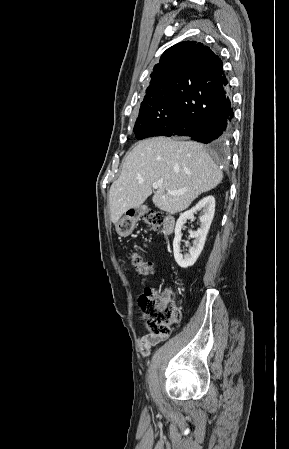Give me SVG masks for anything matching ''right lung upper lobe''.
I'll return each instance as SVG.
<instances>
[{
	"label": "right lung upper lobe",
	"instance_id": "right-lung-upper-lobe-1",
	"mask_svg": "<svg viewBox=\"0 0 289 449\" xmlns=\"http://www.w3.org/2000/svg\"><path fill=\"white\" fill-rule=\"evenodd\" d=\"M222 66V60L202 43L180 42L162 54L151 74L145 97L168 91L174 93L179 81L207 82Z\"/></svg>",
	"mask_w": 289,
	"mask_h": 449
}]
</instances>
